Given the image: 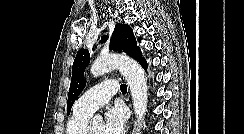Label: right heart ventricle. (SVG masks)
<instances>
[{"label": "right heart ventricle", "instance_id": "right-heart-ventricle-1", "mask_svg": "<svg viewBox=\"0 0 244 134\" xmlns=\"http://www.w3.org/2000/svg\"><path fill=\"white\" fill-rule=\"evenodd\" d=\"M90 114L74 110L67 122L65 134H85Z\"/></svg>", "mask_w": 244, "mask_h": 134}]
</instances>
